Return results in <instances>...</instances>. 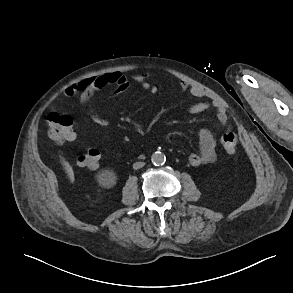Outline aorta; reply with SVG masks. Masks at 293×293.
I'll return each instance as SVG.
<instances>
[{
    "label": "aorta",
    "instance_id": "762f6f07",
    "mask_svg": "<svg viewBox=\"0 0 293 293\" xmlns=\"http://www.w3.org/2000/svg\"><path fill=\"white\" fill-rule=\"evenodd\" d=\"M151 161L154 165H162L166 161V157L162 152H155L151 156Z\"/></svg>",
    "mask_w": 293,
    "mask_h": 293
}]
</instances>
